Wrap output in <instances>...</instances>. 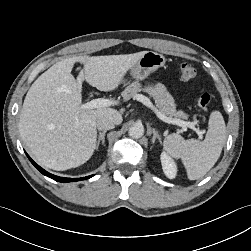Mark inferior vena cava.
Returning a JSON list of instances; mask_svg holds the SVG:
<instances>
[{"instance_id": "obj_1", "label": "inferior vena cava", "mask_w": 251, "mask_h": 251, "mask_svg": "<svg viewBox=\"0 0 251 251\" xmlns=\"http://www.w3.org/2000/svg\"><path fill=\"white\" fill-rule=\"evenodd\" d=\"M115 124H116V122L108 116H102V117L98 118L96 121V127L100 131H106V130L113 129L115 127Z\"/></svg>"}]
</instances>
